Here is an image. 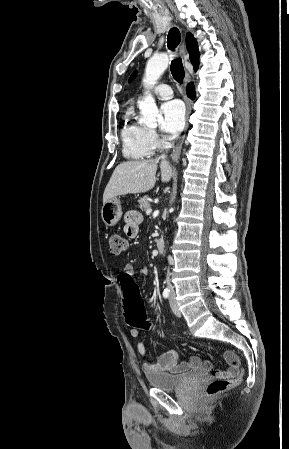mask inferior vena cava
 Returning a JSON list of instances; mask_svg holds the SVG:
<instances>
[{"label":"inferior vena cava","instance_id":"obj_1","mask_svg":"<svg viewBox=\"0 0 289 449\" xmlns=\"http://www.w3.org/2000/svg\"><path fill=\"white\" fill-rule=\"evenodd\" d=\"M161 158H165V155H161ZM168 275H169V271H168ZM169 289L171 290V292H173L174 290H173V287L171 286V285H169Z\"/></svg>","mask_w":289,"mask_h":449}]
</instances>
